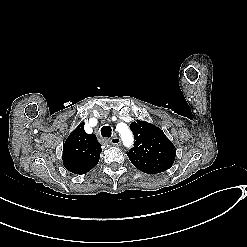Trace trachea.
Segmentation results:
<instances>
[{
	"label": "trachea",
	"instance_id": "obj_1",
	"mask_svg": "<svg viewBox=\"0 0 247 247\" xmlns=\"http://www.w3.org/2000/svg\"><path fill=\"white\" fill-rule=\"evenodd\" d=\"M101 132V135L103 137H107V138H110L111 137V134H112V129L110 126H103L100 130Z\"/></svg>",
	"mask_w": 247,
	"mask_h": 247
}]
</instances>
